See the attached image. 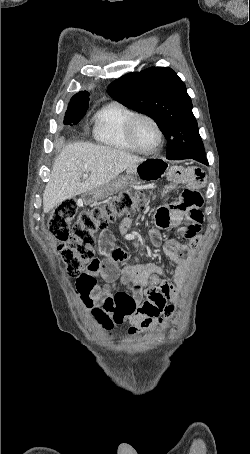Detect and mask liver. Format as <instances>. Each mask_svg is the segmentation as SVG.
<instances>
[{
	"instance_id": "1",
	"label": "liver",
	"mask_w": 250,
	"mask_h": 454,
	"mask_svg": "<svg viewBox=\"0 0 250 454\" xmlns=\"http://www.w3.org/2000/svg\"><path fill=\"white\" fill-rule=\"evenodd\" d=\"M144 160L122 150L92 143L66 145L54 162L43 193L44 213L67 199L108 184L125 169ZM85 173H89V177L81 182Z\"/></svg>"
}]
</instances>
